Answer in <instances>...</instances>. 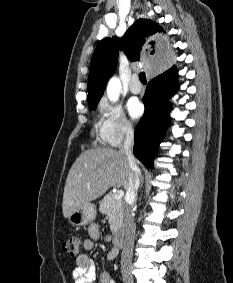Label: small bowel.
I'll list each match as a JSON object with an SVG mask.
<instances>
[{"instance_id": "1", "label": "small bowel", "mask_w": 233, "mask_h": 283, "mask_svg": "<svg viewBox=\"0 0 233 283\" xmlns=\"http://www.w3.org/2000/svg\"><path fill=\"white\" fill-rule=\"evenodd\" d=\"M89 238L84 240L83 246L87 251L96 247V241L100 239L101 234L98 227L92 224L89 227ZM118 255V251L112 248L107 254V261L111 262ZM74 283H94L96 279V268L93 260L87 254H81L76 259V266L72 272ZM99 283H116L110 273L103 272L100 275Z\"/></svg>"}]
</instances>
